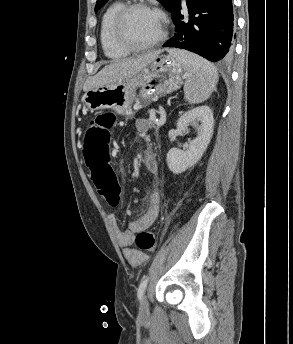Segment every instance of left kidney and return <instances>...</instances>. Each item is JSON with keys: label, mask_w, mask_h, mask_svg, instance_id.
I'll return each instance as SVG.
<instances>
[{"label": "left kidney", "mask_w": 293, "mask_h": 344, "mask_svg": "<svg viewBox=\"0 0 293 344\" xmlns=\"http://www.w3.org/2000/svg\"><path fill=\"white\" fill-rule=\"evenodd\" d=\"M189 125L197 128L198 136L189 142L188 149L171 148L167 153V164L174 174L194 166L206 151L213 133L212 110L208 106H199L185 112L177 121V129L186 133Z\"/></svg>", "instance_id": "obj_1"}]
</instances>
